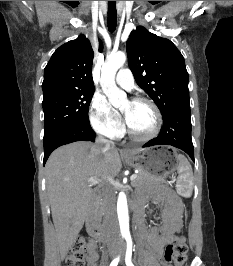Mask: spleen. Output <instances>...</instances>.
I'll use <instances>...</instances> for the list:
<instances>
[{
	"mask_svg": "<svg viewBox=\"0 0 233 266\" xmlns=\"http://www.w3.org/2000/svg\"><path fill=\"white\" fill-rule=\"evenodd\" d=\"M178 180L176 185L177 193L183 197H190L193 190V172L190 163L183 155H177Z\"/></svg>",
	"mask_w": 233,
	"mask_h": 266,
	"instance_id": "1",
	"label": "spleen"
}]
</instances>
